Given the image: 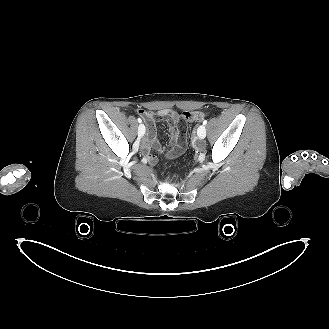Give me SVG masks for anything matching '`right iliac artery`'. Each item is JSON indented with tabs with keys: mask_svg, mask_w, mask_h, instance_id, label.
Masks as SVG:
<instances>
[{
	"mask_svg": "<svg viewBox=\"0 0 329 329\" xmlns=\"http://www.w3.org/2000/svg\"><path fill=\"white\" fill-rule=\"evenodd\" d=\"M137 121H138L139 123H141V122H142L141 118H138V119H137Z\"/></svg>",
	"mask_w": 329,
	"mask_h": 329,
	"instance_id": "right-iliac-artery-1",
	"label": "right iliac artery"
}]
</instances>
